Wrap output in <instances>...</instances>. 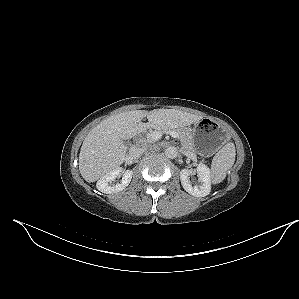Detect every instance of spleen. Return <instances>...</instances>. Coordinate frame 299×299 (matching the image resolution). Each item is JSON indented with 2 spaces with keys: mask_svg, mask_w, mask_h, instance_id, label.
Wrapping results in <instances>:
<instances>
[{
  "mask_svg": "<svg viewBox=\"0 0 299 299\" xmlns=\"http://www.w3.org/2000/svg\"><path fill=\"white\" fill-rule=\"evenodd\" d=\"M235 145L230 142L223 146L213 157L211 164V180L213 184L222 182L235 162Z\"/></svg>",
  "mask_w": 299,
  "mask_h": 299,
  "instance_id": "spleen-1",
  "label": "spleen"
}]
</instances>
